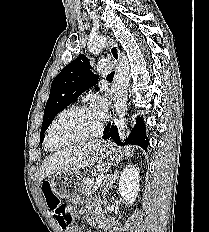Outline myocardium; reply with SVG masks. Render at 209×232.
Listing matches in <instances>:
<instances>
[{
    "label": "myocardium",
    "instance_id": "obj_1",
    "mask_svg": "<svg viewBox=\"0 0 209 232\" xmlns=\"http://www.w3.org/2000/svg\"><path fill=\"white\" fill-rule=\"evenodd\" d=\"M78 110H91L90 107H88L87 105H84V104H79V105H74V106H71V107H68L66 109H64L62 112H60L58 114V116L52 121V123L50 124V126L48 127V130H47V133H46V137H45V145L46 147L49 149V150H58V149H61L63 147H66L68 145H71V144H74V143H77V142H81V141H85V140H89L91 138H94L96 136H98L102 129H103V121L100 120L99 124L97 125V127L95 128L94 131H92L91 133L89 134H86L84 136H81V137H78V138H75V139H72V140H69L68 142L60 145V146H53L51 144V134H52V130L54 128V126L57 124V122L63 117L65 116L66 114L70 113V112H73V111H78Z\"/></svg>",
    "mask_w": 209,
    "mask_h": 232
}]
</instances>
